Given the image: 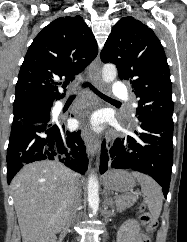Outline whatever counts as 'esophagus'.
<instances>
[{
  "label": "esophagus",
  "instance_id": "34e87169",
  "mask_svg": "<svg viewBox=\"0 0 187 242\" xmlns=\"http://www.w3.org/2000/svg\"><path fill=\"white\" fill-rule=\"evenodd\" d=\"M100 71H101V60H100V56L98 55L96 59L91 63L90 69H89L90 76L94 82H98L100 78ZM82 135H83V139H84L88 154L91 157H94L100 145L98 137L93 135L89 131L87 126L84 127Z\"/></svg>",
  "mask_w": 187,
  "mask_h": 242
}]
</instances>
